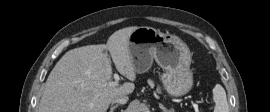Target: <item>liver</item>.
I'll list each match as a JSON object with an SVG mask.
<instances>
[{
    "label": "liver",
    "instance_id": "6515ba94",
    "mask_svg": "<svg viewBox=\"0 0 270 112\" xmlns=\"http://www.w3.org/2000/svg\"><path fill=\"white\" fill-rule=\"evenodd\" d=\"M138 27L115 31L106 44L87 45L66 52L50 72L39 104V112H106L116 96L131 94L135 85L113 86L111 60L117 71L136 79L129 39Z\"/></svg>",
    "mask_w": 270,
    "mask_h": 112
}]
</instances>
